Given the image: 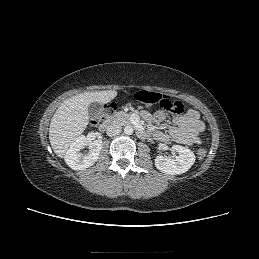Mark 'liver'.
Returning <instances> with one entry per match:
<instances>
[{"label":"liver","mask_w":259,"mask_h":259,"mask_svg":"<svg viewBox=\"0 0 259 259\" xmlns=\"http://www.w3.org/2000/svg\"><path fill=\"white\" fill-rule=\"evenodd\" d=\"M117 91H94L77 94L65 100L55 111L49 127V140L58 157H65L70 144L82 134L89 123L88 107L93 102L105 104Z\"/></svg>","instance_id":"obj_1"}]
</instances>
